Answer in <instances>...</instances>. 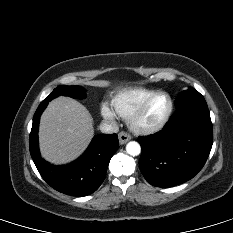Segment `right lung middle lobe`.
<instances>
[{"instance_id": "dd1d6c3e", "label": "right lung middle lobe", "mask_w": 233, "mask_h": 233, "mask_svg": "<svg viewBox=\"0 0 233 233\" xmlns=\"http://www.w3.org/2000/svg\"><path fill=\"white\" fill-rule=\"evenodd\" d=\"M59 95H66L73 98H85V89L80 86H58L43 101L49 102Z\"/></svg>"}]
</instances>
